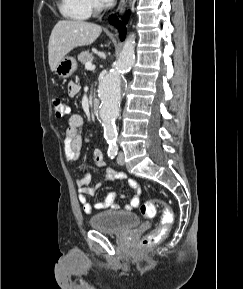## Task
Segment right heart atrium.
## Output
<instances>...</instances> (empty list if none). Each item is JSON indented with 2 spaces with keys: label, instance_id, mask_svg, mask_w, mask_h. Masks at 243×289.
<instances>
[{
  "label": "right heart atrium",
  "instance_id": "1",
  "mask_svg": "<svg viewBox=\"0 0 243 289\" xmlns=\"http://www.w3.org/2000/svg\"><path fill=\"white\" fill-rule=\"evenodd\" d=\"M90 3L91 7H96L97 6V1L96 0H88Z\"/></svg>",
  "mask_w": 243,
  "mask_h": 289
}]
</instances>
